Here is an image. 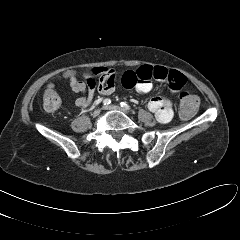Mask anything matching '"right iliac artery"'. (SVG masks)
I'll list each match as a JSON object with an SVG mask.
<instances>
[{
    "label": "right iliac artery",
    "mask_w": 240,
    "mask_h": 240,
    "mask_svg": "<svg viewBox=\"0 0 240 240\" xmlns=\"http://www.w3.org/2000/svg\"><path fill=\"white\" fill-rule=\"evenodd\" d=\"M110 103H111V100H110V99H105V100L103 101V105H105V106H108Z\"/></svg>",
    "instance_id": "1"
}]
</instances>
